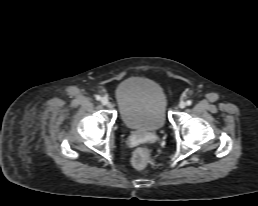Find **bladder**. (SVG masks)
I'll list each match as a JSON object with an SVG mask.
<instances>
[{
	"instance_id": "1",
	"label": "bladder",
	"mask_w": 258,
	"mask_h": 206,
	"mask_svg": "<svg viewBox=\"0 0 258 206\" xmlns=\"http://www.w3.org/2000/svg\"><path fill=\"white\" fill-rule=\"evenodd\" d=\"M115 101L121 121L129 129L153 132L166 123V97L152 80L122 81L115 89Z\"/></svg>"
}]
</instances>
